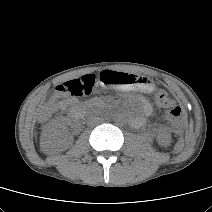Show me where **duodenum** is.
<instances>
[{"label": "duodenum", "instance_id": "1", "mask_svg": "<svg viewBox=\"0 0 212 212\" xmlns=\"http://www.w3.org/2000/svg\"><path fill=\"white\" fill-rule=\"evenodd\" d=\"M86 113V108L84 106L76 105L71 109V117L75 120H80L84 117ZM140 123L139 120H134L133 124L138 125Z\"/></svg>", "mask_w": 212, "mask_h": 212}]
</instances>
